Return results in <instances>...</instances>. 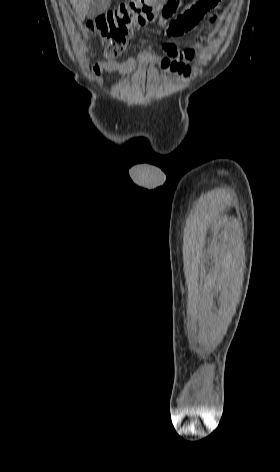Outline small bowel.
Segmentation results:
<instances>
[{"mask_svg": "<svg viewBox=\"0 0 280 472\" xmlns=\"http://www.w3.org/2000/svg\"><path fill=\"white\" fill-rule=\"evenodd\" d=\"M204 1L206 0H192L183 7L176 18L169 22L162 21L161 24L165 35L168 38H176L196 27L203 17L211 10L202 6ZM163 50L166 54V57L161 61V67L163 69L178 72L180 74H186L188 72L189 67L184 62L193 59V50H180L171 42L165 43ZM135 68L136 60L134 57H128L124 61H116L109 56H106L105 59L97 62L93 66V73L97 77V82L101 83L100 75L103 72H117L120 75L127 77L134 72Z\"/></svg>", "mask_w": 280, "mask_h": 472, "instance_id": "small-bowel-1", "label": "small bowel"}]
</instances>
